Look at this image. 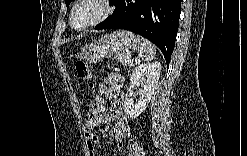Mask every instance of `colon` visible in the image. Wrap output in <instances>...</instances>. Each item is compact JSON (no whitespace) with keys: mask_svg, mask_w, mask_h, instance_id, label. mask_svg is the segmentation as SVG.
I'll list each match as a JSON object with an SVG mask.
<instances>
[{"mask_svg":"<svg viewBox=\"0 0 247 156\" xmlns=\"http://www.w3.org/2000/svg\"><path fill=\"white\" fill-rule=\"evenodd\" d=\"M76 73L80 79L86 82L88 88L94 91L95 85L92 80V75L89 66L84 61H78L75 65ZM93 107H91V113H89V118H100V109L106 103V98H98L96 96L93 98Z\"/></svg>","mask_w":247,"mask_h":156,"instance_id":"5ec220e1","label":"colon"}]
</instances>
